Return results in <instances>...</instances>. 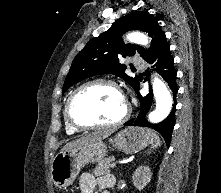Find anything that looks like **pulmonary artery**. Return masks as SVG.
Wrapping results in <instances>:
<instances>
[{
    "mask_svg": "<svg viewBox=\"0 0 221 193\" xmlns=\"http://www.w3.org/2000/svg\"><path fill=\"white\" fill-rule=\"evenodd\" d=\"M133 63H134L137 67H139V68H143V67H144L143 64H142V60H141L140 58H138V57H134V58H133Z\"/></svg>",
    "mask_w": 221,
    "mask_h": 193,
    "instance_id": "pulmonary-artery-1",
    "label": "pulmonary artery"
}]
</instances>
